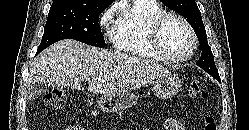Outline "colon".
<instances>
[{"label": "colon", "instance_id": "5ec220e1", "mask_svg": "<svg viewBox=\"0 0 249 130\" xmlns=\"http://www.w3.org/2000/svg\"><path fill=\"white\" fill-rule=\"evenodd\" d=\"M188 92L191 97H197L201 100H206L208 98L207 90L198 81H192L190 83ZM43 101L48 107L54 110H61L65 104L64 90L56 88L49 91L44 95ZM204 130H216V123L213 117L207 112L204 117Z\"/></svg>", "mask_w": 249, "mask_h": 130}]
</instances>
